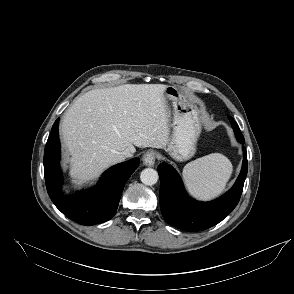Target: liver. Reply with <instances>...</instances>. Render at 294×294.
Listing matches in <instances>:
<instances>
[{"label": "liver", "instance_id": "1", "mask_svg": "<svg viewBox=\"0 0 294 294\" xmlns=\"http://www.w3.org/2000/svg\"><path fill=\"white\" fill-rule=\"evenodd\" d=\"M163 84L94 89L65 112L60 129L70 152V173L83 182L124 161L135 147L166 148L169 112Z\"/></svg>", "mask_w": 294, "mask_h": 294}]
</instances>
